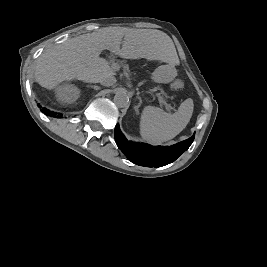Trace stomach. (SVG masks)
<instances>
[{
    "label": "stomach",
    "mask_w": 267,
    "mask_h": 267,
    "mask_svg": "<svg viewBox=\"0 0 267 267\" xmlns=\"http://www.w3.org/2000/svg\"><path fill=\"white\" fill-rule=\"evenodd\" d=\"M176 70L170 65H161L157 67L151 75L152 81L155 83L167 84L174 80Z\"/></svg>",
    "instance_id": "0dacf381"
}]
</instances>
